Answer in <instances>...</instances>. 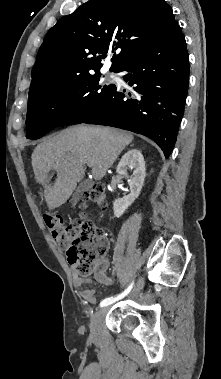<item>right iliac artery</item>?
Returning a JSON list of instances; mask_svg holds the SVG:
<instances>
[{
	"label": "right iliac artery",
	"mask_w": 221,
	"mask_h": 379,
	"mask_svg": "<svg viewBox=\"0 0 221 379\" xmlns=\"http://www.w3.org/2000/svg\"><path fill=\"white\" fill-rule=\"evenodd\" d=\"M132 286H133V283L123 293H121L117 297H108V298L102 300L100 303V307H105L107 305L114 303L115 301H117L119 299H122L123 297H125L130 292V290L132 289Z\"/></svg>",
	"instance_id": "82829eb1"
}]
</instances>
